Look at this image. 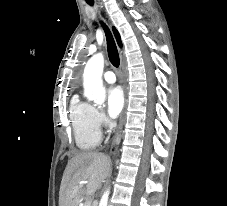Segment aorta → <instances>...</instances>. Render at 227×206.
Wrapping results in <instances>:
<instances>
[{"instance_id":"1","label":"aorta","mask_w":227,"mask_h":206,"mask_svg":"<svg viewBox=\"0 0 227 206\" xmlns=\"http://www.w3.org/2000/svg\"><path fill=\"white\" fill-rule=\"evenodd\" d=\"M103 68L104 57L101 53H98L89 59L83 73L84 94L88 100L98 105H102L106 98L102 81ZM109 193V189L104 192L99 206H107Z\"/></svg>"}]
</instances>
